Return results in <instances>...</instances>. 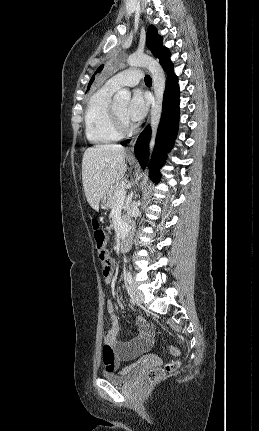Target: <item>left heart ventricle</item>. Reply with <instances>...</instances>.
<instances>
[{"mask_svg": "<svg viewBox=\"0 0 259 431\" xmlns=\"http://www.w3.org/2000/svg\"><path fill=\"white\" fill-rule=\"evenodd\" d=\"M127 104L121 103L114 106L116 112L121 116V118L126 122L129 123L125 118V110H126Z\"/></svg>", "mask_w": 259, "mask_h": 431, "instance_id": "1", "label": "left heart ventricle"}]
</instances>
